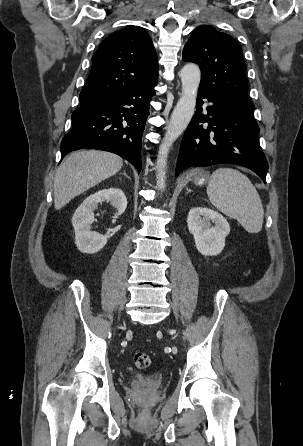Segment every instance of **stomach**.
<instances>
[{
  "label": "stomach",
  "instance_id": "1",
  "mask_svg": "<svg viewBox=\"0 0 303 446\" xmlns=\"http://www.w3.org/2000/svg\"><path fill=\"white\" fill-rule=\"evenodd\" d=\"M209 181V174L206 172L198 173L194 178L196 185H204Z\"/></svg>",
  "mask_w": 303,
  "mask_h": 446
}]
</instances>
